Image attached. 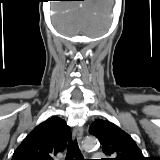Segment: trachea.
Wrapping results in <instances>:
<instances>
[{
  "label": "trachea",
  "instance_id": "obj_1",
  "mask_svg": "<svg viewBox=\"0 0 160 160\" xmlns=\"http://www.w3.org/2000/svg\"><path fill=\"white\" fill-rule=\"evenodd\" d=\"M65 160H81V152L79 150L77 141L68 143L67 158Z\"/></svg>",
  "mask_w": 160,
  "mask_h": 160
}]
</instances>
